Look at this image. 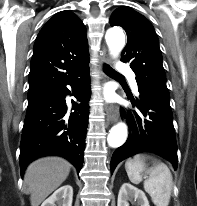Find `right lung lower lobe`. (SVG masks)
I'll return each mask as SVG.
<instances>
[{
  "instance_id": "right-lung-lower-lobe-1",
  "label": "right lung lower lobe",
  "mask_w": 197,
  "mask_h": 206,
  "mask_svg": "<svg viewBox=\"0 0 197 206\" xmlns=\"http://www.w3.org/2000/svg\"><path fill=\"white\" fill-rule=\"evenodd\" d=\"M66 85L75 91L80 102H73L72 113H67ZM89 67L41 101L29 105L22 130L20 145V168L23 175L33 160L57 155L69 160L78 170L82 168L85 137L89 115Z\"/></svg>"
}]
</instances>
